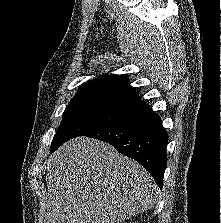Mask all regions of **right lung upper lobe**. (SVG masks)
Segmentation results:
<instances>
[{"mask_svg": "<svg viewBox=\"0 0 221 223\" xmlns=\"http://www.w3.org/2000/svg\"><path fill=\"white\" fill-rule=\"evenodd\" d=\"M107 100L139 107L145 104L129 85V78L117 75H102L83 83L71 100Z\"/></svg>", "mask_w": 221, "mask_h": 223, "instance_id": "1", "label": "right lung upper lobe"}]
</instances>
